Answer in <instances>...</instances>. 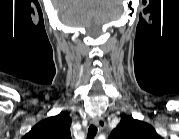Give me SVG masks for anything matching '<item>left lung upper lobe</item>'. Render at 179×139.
Here are the masks:
<instances>
[{
  "instance_id": "obj_1",
  "label": "left lung upper lobe",
  "mask_w": 179,
  "mask_h": 139,
  "mask_svg": "<svg viewBox=\"0 0 179 139\" xmlns=\"http://www.w3.org/2000/svg\"><path fill=\"white\" fill-rule=\"evenodd\" d=\"M111 139H159L154 128L132 116H123L117 128L111 132Z\"/></svg>"
}]
</instances>
